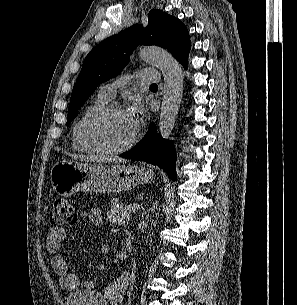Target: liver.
<instances>
[{
  "label": "liver",
  "mask_w": 297,
  "mask_h": 305,
  "mask_svg": "<svg viewBox=\"0 0 297 305\" xmlns=\"http://www.w3.org/2000/svg\"><path fill=\"white\" fill-rule=\"evenodd\" d=\"M69 156L73 157L74 159H80L81 161H86V162H92V161H97V162H115V163H121L125 162V160L120 159V158H100L98 156H78L75 154H69Z\"/></svg>",
  "instance_id": "6515ba94"
}]
</instances>
